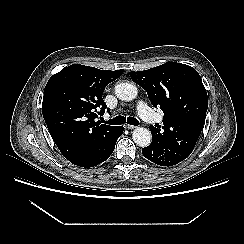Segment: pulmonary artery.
<instances>
[{
    "label": "pulmonary artery",
    "mask_w": 244,
    "mask_h": 244,
    "mask_svg": "<svg viewBox=\"0 0 244 244\" xmlns=\"http://www.w3.org/2000/svg\"><path fill=\"white\" fill-rule=\"evenodd\" d=\"M137 111L140 117L149 123L160 122L161 117L157 116L143 101H140L137 105Z\"/></svg>",
    "instance_id": "e3ab8cb5"
}]
</instances>
